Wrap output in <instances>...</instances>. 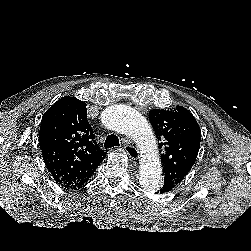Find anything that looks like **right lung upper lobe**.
<instances>
[{
    "label": "right lung upper lobe",
    "instance_id": "cb5924a9",
    "mask_svg": "<svg viewBox=\"0 0 251 251\" xmlns=\"http://www.w3.org/2000/svg\"><path fill=\"white\" fill-rule=\"evenodd\" d=\"M86 103L65 96L43 115L39 142L43 160L57 183L80 187L106 156L87 120Z\"/></svg>",
    "mask_w": 251,
    "mask_h": 251
}]
</instances>
